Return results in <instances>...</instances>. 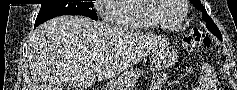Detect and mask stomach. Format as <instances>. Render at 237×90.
<instances>
[{"instance_id": "0dacf381", "label": "stomach", "mask_w": 237, "mask_h": 90, "mask_svg": "<svg viewBox=\"0 0 237 90\" xmlns=\"http://www.w3.org/2000/svg\"><path fill=\"white\" fill-rule=\"evenodd\" d=\"M173 53L167 52L163 55H157L152 60L151 70H162L174 63ZM144 69L126 70L123 74L116 77L112 82L107 84L106 90H131L137 79L144 73Z\"/></svg>"}]
</instances>
